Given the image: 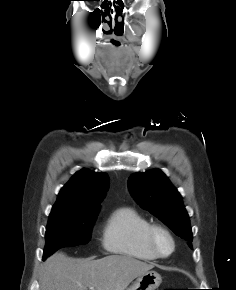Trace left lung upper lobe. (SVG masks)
<instances>
[{"label":"left lung upper lobe","mask_w":236,"mask_h":290,"mask_svg":"<svg viewBox=\"0 0 236 290\" xmlns=\"http://www.w3.org/2000/svg\"><path fill=\"white\" fill-rule=\"evenodd\" d=\"M130 193L140 206L158 217L176 235L192 242L189 216L182 197L159 169L134 173L129 177Z\"/></svg>","instance_id":"left-lung-upper-lobe-1"}]
</instances>
